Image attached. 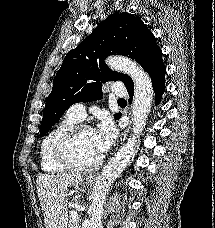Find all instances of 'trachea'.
<instances>
[{
  "instance_id": "trachea-1",
  "label": "trachea",
  "mask_w": 215,
  "mask_h": 228,
  "mask_svg": "<svg viewBox=\"0 0 215 228\" xmlns=\"http://www.w3.org/2000/svg\"><path fill=\"white\" fill-rule=\"evenodd\" d=\"M126 100H124V98H119L118 100V104H126Z\"/></svg>"
}]
</instances>
